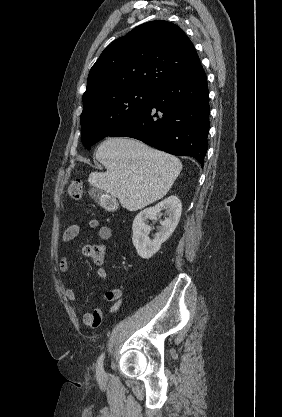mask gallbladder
Returning <instances> with one entry per match:
<instances>
[{
  "label": "gallbladder",
  "instance_id": "gallbladder-1",
  "mask_svg": "<svg viewBox=\"0 0 282 417\" xmlns=\"http://www.w3.org/2000/svg\"><path fill=\"white\" fill-rule=\"evenodd\" d=\"M89 194L99 204H104L108 200L107 196H105V190H101V188H90Z\"/></svg>",
  "mask_w": 282,
  "mask_h": 417
}]
</instances>
